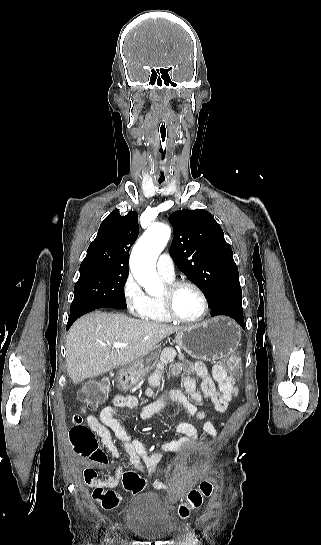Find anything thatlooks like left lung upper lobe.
<instances>
[{
    "label": "left lung upper lobe",
    "instance_id": "1",
    "mask_svg": "<svg viewBox=\"0 0 321 545\" xmlns=\"http://www.w3.org/2000/svg\"><path fill=\"white\" fill-rule=\"evenodd\" d=\"M174 228L170 253L178 269L197 285L209 304L241 289L231 247L221 226L206 210H178L169 216Z\"/></svg>",
    "mask_w": 321,
    "mask_h": 545
}]
</instances>
